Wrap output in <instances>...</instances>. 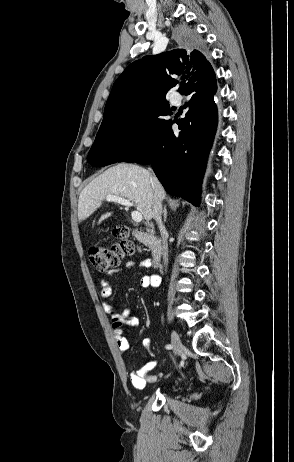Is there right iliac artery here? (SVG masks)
<instances>
[{
    "instance_id": "obj_1",
    "label": "right iliac artery",
    "mask_w": 294,
    "mask_h": 462,
    "mask_svg": "<svg viewBox=\"0 0 294 462\" xmlns=\"http://www.w3.org/2000/svg\"><path fill=\"white\" fill-rule=\"evenodd\" d=\"M166 349H172V345L170 344L166 345Z\"/></svg>"
}]
</instances>
